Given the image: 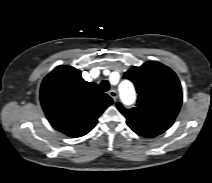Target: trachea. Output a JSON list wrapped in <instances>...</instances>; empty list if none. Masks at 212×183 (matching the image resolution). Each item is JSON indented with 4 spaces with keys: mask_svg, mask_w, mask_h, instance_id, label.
I'll use <instances>...</instances> for the list:
<instances>
[{
    "mask_svg": "<svg viewBox=\"0 0 212 183\" xmlns=\"http://www.w3.org/2000/svg\"><path fill=\"white\" fill-rule=\"evenodd\" d=\"M100 88L104 91L107 92L110 89V84L107 80H103L100 83Z\"/></svg>",
    "mask_w": 212,
    "mask_h": 183,
    "instance_id": "trachea-1",
    "label": "trachea"
}]
</instances>
